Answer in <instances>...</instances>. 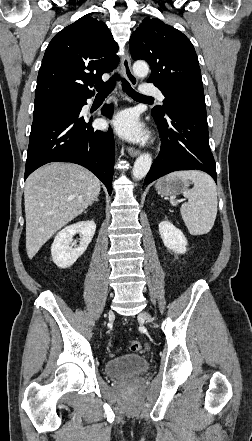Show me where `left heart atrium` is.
Returning <instances> with one entry per match:
<instances>
[{
    "label": "left heart atrium",
    "instance_id": "39dd6f15",
    "mask_svg": "<svg viewBox=\"0 0 252 441\" xmlns=\"http://www.w3.org/2000/svg\"><path fill=\"white\" fill-rule=\"evenodd\" d=\"M111 125L120 135L129 140L140 141L145 137V131L137 115L131 110L119 113L111 121Z\"/></svg>",
    "mask_w": 252,
    "mask_h": 441
}]
</instances>
